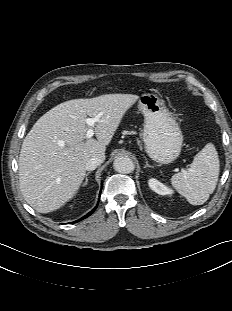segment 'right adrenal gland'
Wrapping results in <instances>:
<instances>
[{"label": "right adrenal gland", "mask_w": 232, "mask_h": 311, "mask_svg": "<svg viewBox=\"0 0 232 311\" xmlns=\"http://www.w3.org/2000/svg\"><path fill=\"white\" fill-rule=\"evenodd\" d=\"M89 174H90V172L86 173L85 182H84L83 186L88 184V175Z\"/></svg>", "instance_id": "2a0ac1e0"}]
</instances>
